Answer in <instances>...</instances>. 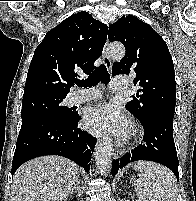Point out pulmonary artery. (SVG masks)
<instances>
[{"label":"pulmonary artery","mask_w":196,"mask_h":201,"mask_svg":"<svg viewBox=\"0 0 196 201\" xmlns=\"http://www.w3.org/2000/svg\"><path fill=\"white\" fill-rule=\"evenodd\" d=\"M127 87V79L125 77L113 78L110 88L114 91L124 90ZM101 97V92L95 89H80L71 96L73 104H79L96 100Z\"/></svg>","instance_id":"obj_1"}]
</instances>
